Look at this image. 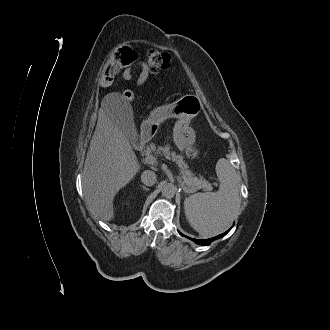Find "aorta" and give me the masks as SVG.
<instances>
[{
    "label": "aorta",
    "instance_id": "aorta-1",
    "mask_svg": "<svg viewBox=\"0 0 330 330\" xmlns=\"http://www.w3.org/2000/svg\"><path fill=\"white\" fill-rule=\"evenodd\" d=\"M161 192L164 197L173 198L177 192V187L172 183H164Z\"/></svg>",
    "mask_w": 330,
    "mask_h": 330
}]
</instances>
